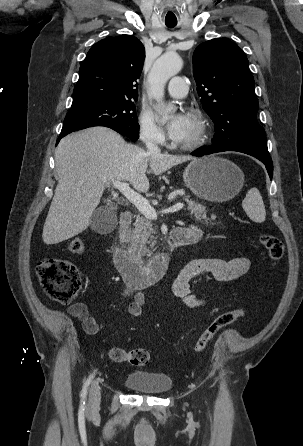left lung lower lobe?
I'll use <instances>...</instances> for the list:
<instances>
[{
  "label": "left lung lower lobe",
  "mask_w": 303,
  "mask_h": 446,
  "mask_svg": "<svg viewBox=\"0 0 303 446\" xmlns=\"http://www.w3.org/2000/svg\"><path fill=\"white\" fill-rule=\"evenodd\" d=\"M224 151H238V152H242V153L251 155L253 157H256L257 159H259L266 165V169L269 173V176H270V178H272L273 164H272V160H271V157L269 156V154H264V153H260L257 151L244 149V148H240V147L229 146V147H225V148H214V147L207 148V149L201 148V149L194 151L192 153V155L203 156V155H208V154L217 153V152H224Z\"/></svg>",
  "instance_id": "1"
}]
</instances>
